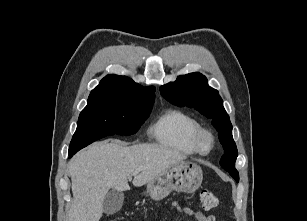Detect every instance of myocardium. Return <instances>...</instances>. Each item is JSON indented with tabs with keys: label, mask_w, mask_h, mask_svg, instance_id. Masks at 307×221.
Segmentation results:
<instances>
[{
	"label": "myocardium",
	"mask_w": 307,
	"mask_h": 221,
	"mask_svg": "<svg viewBox=\"0 0 307 221\" xmlns=\"http://www.w3.org/2000/svg\"><path fill=\"white\" fill-rule=\"evenodd\" d=\"M205 142L208 143L207 147L204 146ZM192 144L197 153L206 155L213 150L215 138L210 130L200 127L193 134Z\"/></svg>",
	"instance_id": "obj_1"
}]
</instances>
